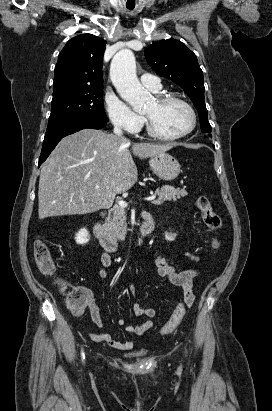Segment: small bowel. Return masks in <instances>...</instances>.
<instances>
[{
    "label": "small bowel",
    "mask_w": 272,
    "mask_h": 411,
    "mask_svg": "<svg viewBox=\"0 0 272 411\" xmlns=\"http://www.w3.org/2000/svg\"><path fill=\"white\" fill-rule=\"evenodd\" d=\"M144 217L147 218L148 215L144 214ZM187 256L192 261H199L200 257L192 253H187ZM101 261L104 268H109L112 265V259L107 252H104L101 256ZM153 265L157 271V274L168 280L171 284L180 288L183 297H189L191 299V305H193L195 296L193 294V285L194 279L198 274L197 269H184L179 270L172 264H170L162 253H158L155 259L153 260ZM99 275L102 278L107 277V272L105 269L99 270ZM130 290L133 295H135L134 285L130 284ZM88 309L90 312L91 319L93 323L100 329L104 327L103 320L100 315V311L92 297H89ZM133 313L138 317H147L148 319L138 325H128L126 326V331L135 336H143L147 331L155 327V323L152 320L157 314V311L153 307H143L140 304L136 303L133 305ZM117 325L124 326L126 321L124 318H118L116 320ZM88 337L94 342H103L108 346L121 350V351H130L135 346V341L133 339H128L124 341L115 340L109 333H94L89 332Z\"/></svg>",
    "instance_id": "obj_1"
}]
</instances>
